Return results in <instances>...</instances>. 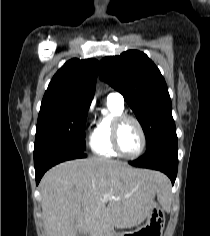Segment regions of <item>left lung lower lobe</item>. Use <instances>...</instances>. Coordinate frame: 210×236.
<instances>
[{
	"mask_svg": "<svg viewBox=\"0 0 210 236\" xmlns=\"http://www.w3.org/2000/svg\"><path fill=\"white\" fill-rule=\"evenodd\" d=\"M129 163L137 167L159 170L174 184L178 169L176 133L162 137L141 158Z\"/></svg>",
	"mask_w": 210,
	"mask_h": 236,
	"instance_id": "obj_1",
	"label": "left lung lower lobe"
}]
</instances>
